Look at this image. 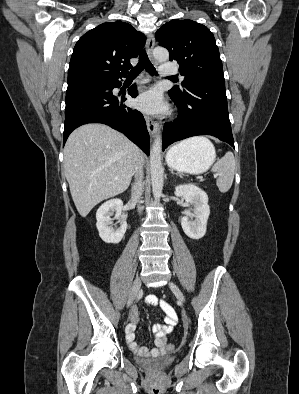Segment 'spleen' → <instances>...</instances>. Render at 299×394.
<instances>
[{"label": "spleen", "mask_w": 299, "mask_h": 394, "mask_svg": "<svg viewBox=\"0 0 299 394\" xmlns=\"http://www.w3.org/2000/svg\"><path fill=\"white\" fill-rule=\"evenodd\" d=\"M197 141L206 145H212V143L205 137H196L181 142H192ZM180 144V143H179ZM236 161L232 152H227L221 159H219L214 166L212 171L218 174L216 180L217 187L221 193H226L232 186L234 173H235Z\"/></svg>", "instance_id": "obj_1"}]
</instances>
